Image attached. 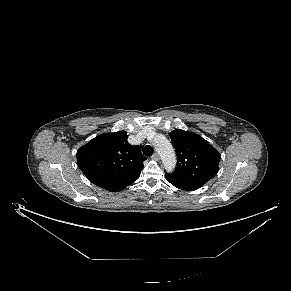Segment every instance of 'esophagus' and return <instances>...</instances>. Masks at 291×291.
<instances>
[{
    "instance_id": "1",
    "label": "esophagus",
    "mask_w": 291,
    "mask_h": 291,
    "mask_svg": "<svg viewBox=\"0 0 291 291\" xmlns=\"http://www.w3.org/2000/svg\"><path fill=\"white\" fill-rule=\"evenodd\" d=\"M152 158H153L154 160H156V161H159V160H160V156H159L158 153H154V154L152 155Z\"/></svg>"
}]
</instances>
